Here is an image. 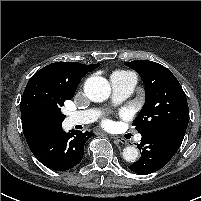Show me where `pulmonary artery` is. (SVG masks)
Here are the masks:
<instances>
[{
  "instance_id": "1",
  "label": "pulmonary artery",
  "mask_w": 201,
  "mask_h": 201,
  "mask_svg": "<svg viewBox=\"0 0 201 201\" xmlns=\"http://www.w3.org/2000/svg\"><path fill=\"white\" fill-rule=\"evenodd\" d=\"M112 97L115 103H121L129 98L135 89L137 78L132 73H115L111 78ZM99 116V111L96 109H89L84 111L71 112L66 118V122L69 126L78 124H88L96 120ZM137 140L141 139V135H138Z\"/></svg>"
}]
</instances>
